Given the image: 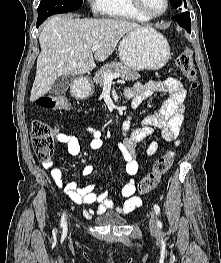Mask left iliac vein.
<instances>
[{
  "label": "left iliac vein",
  "mask_w": 221,
  "mask_h": 263,
  "mask_svg": "<svg viewBox=\"0 0 221 263\" xmlns=\"http://www.w3.org/2000/svg\"><path fill=\"white\" fill-rule=\"evenodd\" d=\"M150 219H149V228L152 233L158 232V218L155 213V211L151 210L149 213Z\"/></svg>",
  "instance_id": "obj_1"
}]
</instances>
